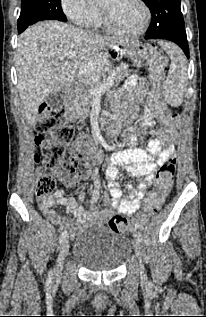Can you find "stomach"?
<instances>
[{
	"label": "stomach",
	"instance_id": "obj_1",
	"mask_svg": "<svg viewBox=\"0 0 206 317\" xmlns=\"http://www.w3.org/2000/svg\"><path fill=\"white\" fill-rule=\"evenodd\" d=\"M152 47L141 42H132L125 45L124 55L129 58V66H142L152 55ZM82 67L76 68L78 83L83 85H93L94 82H100L99 74L108 71V66H113V55L101 54L92 55L91 59H82Z\"/></svg>",
	"mask_w": 206,
	"mask_h": 317
}]
</instances>
